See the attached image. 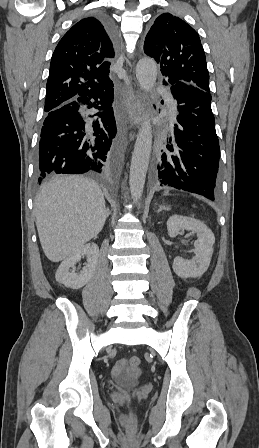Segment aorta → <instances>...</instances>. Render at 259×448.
Masks as SVG:
<instances>
[{
    "label": "aorta",
    "mask_w": 259,
    "mask_h": 448,
    "mask_svg": "<svg viewBox=\"0 0 259 448\" xmlns=\"http://www.w3.org/2000/svg\"><path fill=\"white\" fill-rule=\"evenodd\" d=\"M158 74L156 62L150 58L139 60L136 66V78L142 90L150 92ZM152 149V127L149 115L144 117L140 126L134 151L132 154L129 185L134 202L138 201L143 193L147 169Z\"/></svg>",
    "instance_id": "1"
}]
</instances>
